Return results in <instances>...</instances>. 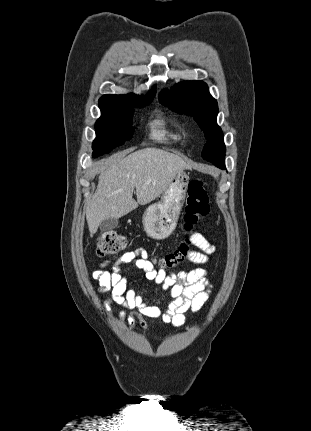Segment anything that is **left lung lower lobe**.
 I'll use <instances>...</instances> for the list:
<instances>
[{
	"instance_id": "0a47b994",
	"label": "left lung lower lobe",
	"mask_w": 311,
	"mask_h": 431,
	"mask_svg": "<svg viewBox=\"0 0 311 431\" xmlns=\"http://www.w3.org/2000/svg\"><path fill=\"white\" fill-rule=\"evenodd\" d=\"M220 167L221 168H225V165H224V160L221 162V165H220Z\"/></svg>"
}]
</instances>
